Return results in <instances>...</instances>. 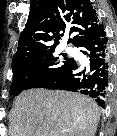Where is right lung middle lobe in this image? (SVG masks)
Returning <instances> with one entry per match:
<instances>
[{"instance_id":"dd1d6c3e","label":"right lung middle lobe","mask_w":117,"mask_h":136,"mask_svg":"<svg viewBox=\"0 0 117 136\" xmlns=\"http://www.w3.org/2000/svg\"><path fill=\"white\" fill-rule=\"evenodd\" d=\"M58 60L53 55L34 60L13 69L10 95H18L24 90L36 88L50 77L60 72L72 58Z\"/></svg>"}]
</instances>
